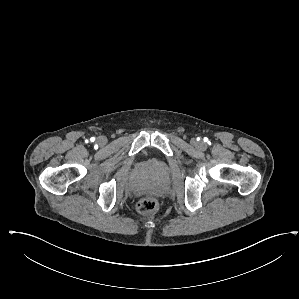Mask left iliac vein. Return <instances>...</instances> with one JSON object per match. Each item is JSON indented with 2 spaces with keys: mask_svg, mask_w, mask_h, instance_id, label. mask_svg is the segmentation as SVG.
I'll return each instance as SVG.
<instances>
[{
  "mask_svg": "<svg viewBox=\"0 0 299 299\" xmlns=\"http://www.w3.org/2000/svg\"><path fill=\"white\" fill-rule=\"evenodd\" d=\"M194 145L198 146L199 148L203 149L205 147V144L203 142H193Z\"/></svg>",
  "mask_w": 299,
  "mask_h": 299,
  "instance_id": "left-iliac-vein-1",
  "label": "left iliac vein"
}]
</instances>
